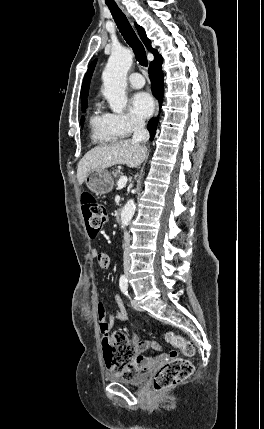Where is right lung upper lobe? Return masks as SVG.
Wrapping results in <instances>:
<instances>
[{
  "label": "right lung upper lobe",
  "instance_id": "obj_1",
  "mask_svg": "<svg viewBox=\"0 0 264 429\" xmlns=\"http://www.w3.org/2000/svg\"><path fill=\"white\" fill-rule=\"evenodd\" d=\"M135 26H136L138 34H139L140 38L142 39L143 43L145 44L146 48L153 53V55L155 56V58L158 57L159 54H158V52L156 50H154L152 48L151 41L147 38L144 29L141 26L137 25L136 23H135ZM95 64H96V60H94L90 64V66L88 68V71H87V73H86V75L84 77V81H83L82 88H81V105L82 106L83 105H87L89 83H90V79L92 77V73H93Z\"/></svg>",
  "mask_w": 264,
  "mask_h": 429
}]
</instances>
